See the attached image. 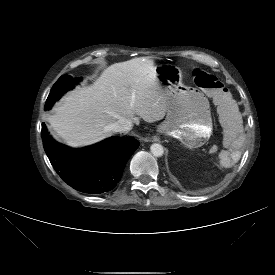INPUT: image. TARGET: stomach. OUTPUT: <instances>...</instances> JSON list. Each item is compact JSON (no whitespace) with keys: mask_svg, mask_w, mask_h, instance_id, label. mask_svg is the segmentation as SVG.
Masks as SVG:
<instances>
[{"mask_svg":"<svg viewBox=\"0 0 275 275\" xmlns=\"http://www.w3.org/2000/svg\"><path fill=\"white\" fill-rule=\"evenodd\" d=\"M156 78L166 98V119L158 132L179 139L188 148H198L213 130L210 105L204 94L182 83V70L175 65L155 66Z\"/></svg>","mask_w":275,"mask_h":275,"instance_id":"stomach-1","label":"stomach"}]
</instances>
